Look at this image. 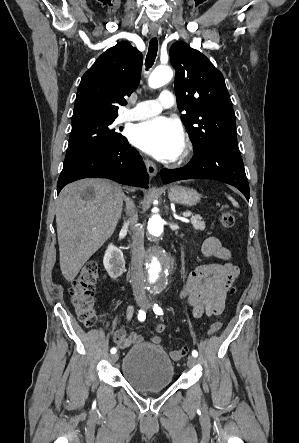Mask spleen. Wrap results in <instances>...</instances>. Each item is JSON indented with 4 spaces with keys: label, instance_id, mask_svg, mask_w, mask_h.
I'll list each match as a JSON object with an SVG mask.
<instances>
[{
    "label": "spleen",
    "instance_id": "obj_1",
    "mask_svg": "<svg viewBox=\"0 0 299 443\" xmlns=\"http://www.w3.org/2000/svg\"><path fill=\"white\" fill-rule=\"evenodd\" d=\"M227 197L232 202L233 206L239 207L238 203L231 196H227Z\"/></svg>",
    "mask_w": 299,
    "mask_h": 443
}]
</instances>
